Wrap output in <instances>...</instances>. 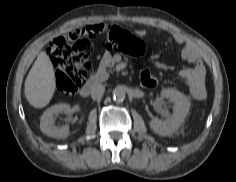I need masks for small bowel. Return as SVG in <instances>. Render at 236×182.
<instances>
[{
  "label": "small bowel",
  "instance_id": "1",
  "mask_svg": "<svg viewBox=\"0 0 236 182\" xmlns=\"http://www.w3.org/2000/svg\"><path fill=\"white\" fill-rule=\"evenodd\" d=\"M139 34L144 36L145 32L140 31ZM171 38L181 45L180 53L182 59L191 64V67L184 68L179 72L180 78L186 84L194 99H204L207 95L205 85L206 67L202 59L201 50L181 34L173 33Z\"/></svg>",
  "mask_w": 236,
  "mask_h": 182
}]
</instances>
